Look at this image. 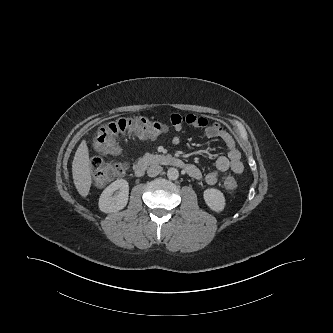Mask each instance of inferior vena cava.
<instances>
[{"label":"inferior vena cava","mask_w":333,"mask_h":333,"mask_svg":"<svg viewBox=\"0 0 333 333\" xmlns=\"http://www.w3.org/2000/svg\"><path fill=\"white\" fill-rule=\"evenodd\" d=\"M163 170V168L158 165V164H153L150 167H148L147 169V174L149 177H155L157 176L159 173H161Z\"/></svg>","instance_id":"obj_1"}]
</instances>
